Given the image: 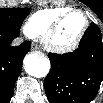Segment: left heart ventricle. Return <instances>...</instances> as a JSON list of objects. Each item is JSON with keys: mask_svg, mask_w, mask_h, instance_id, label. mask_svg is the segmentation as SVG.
<instances>
[{"mask_svg": "<svg viewBox=\"0 0 103 103\" xmlns=\"http://www.w3.org/2000/svg\"><path fill=\"white\" fill-rule=\"evenodd\" d=\"M85 24L84 16L75 13L69 16L52 37V43L57 46H65L72 43L81 33Z\"/></svg>", "mask_w": 103, "mask_h": 103, "instance_id": "left-heart-ventricle-1", "label": "left heart ventricle"}]
</instances>
